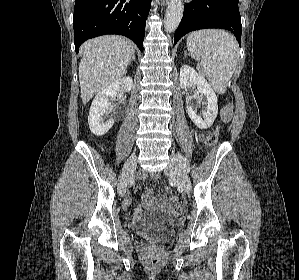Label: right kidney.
<instances>
[{
  "label": "right kidney",
  "mask_w": 299,
  "mask_h": 280,
  "mask_svg": "<svg viewBox=\"0 0 299 280\" xmlns=\"http://www.w3.org/2000/svg\"><path fill=\"white\" fill-rule=\"evenodd\" d=\"M133 86L131 77H123L102 89L92 101L88 116V123L91 132L94 135L102 136L106 134L114 124V119L110 118L105 121L102 115L107 112L110 107L109 100L114 98L120 90L129 92Z\"/></svg>",
  "instance_id": "1"
}]
</instances>
